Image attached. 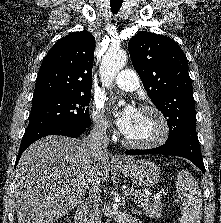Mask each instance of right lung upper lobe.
Wrapping results in <instances>:
<instances>
[{
	"instance_id": "obj_1",
	"label": "right lung upper lobe",
	"mask_w": 221,
	"mask_h": 223,
	"mask_svg": "<svg viewBox=\"0 0 221 223\" xmlns=\"http://www.w3.org/2000/svg\"><path fill=\"white\" fill-rule=\"evenodd\" d=\"M94 49V36L87 31L58 40L41 64L32 101L91 92Z\"/></svg>"
}]
</instances>
